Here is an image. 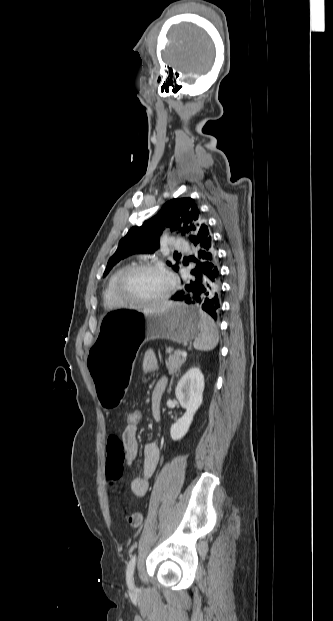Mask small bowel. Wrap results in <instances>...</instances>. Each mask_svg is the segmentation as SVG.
Segmentation results:
<instances>
[{
	"instance_id": "obj_1",
	"label": "small bowel",
	"mask_w": 333,
	"mask_h": 621,
	"mask_svg": "<svg viewBox=\"0 0 333 621\" xmlns=\"http://www.w3.org/2000/svg\"><path fill=\"white\" fill-rule=\"evenodd\" d=\"M158 361L152 351H147L142 359V369L145 373H154L157 370ZM166 378H160L152 390V411L157 418L162 396L166 388ZM139 445L137 441V425L127 424L118 436H111L107 442L106 477L111 484L116 483L123 474L124 464L132 465L138 456ZM159 448L154 442H149L143 450V464L141 474L134 475L130 480V490L137 496L142 497L147 493L149 479L156 470L159 462Z\"/></svg>"
}]
</instances>
